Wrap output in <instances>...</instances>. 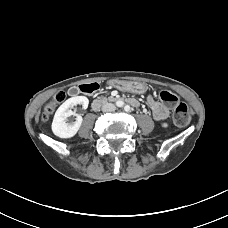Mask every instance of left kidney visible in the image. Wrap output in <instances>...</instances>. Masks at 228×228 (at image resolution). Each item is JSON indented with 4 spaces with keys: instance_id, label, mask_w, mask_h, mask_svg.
Here are the masks:
<instances>
[{
    "instance_id": "left-kidney-1",
    "label": "left kidney",
    "mask_w": 228,
    "mask_h": 228,
    "mask_svg": "<svg viewBox=\"0 0 228 228\" xmlns=\"http://www.w3.org/2000/svg\"><path fill=\"white\" fill-rule=\"evenodd\" d=\"M162 127L167 128L168 127V124L167 123H163L162 124Z\"/></svg>"
}]
</instances>
